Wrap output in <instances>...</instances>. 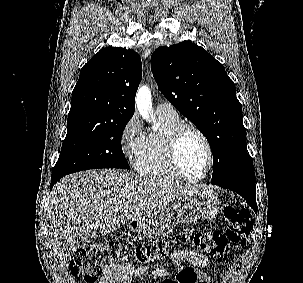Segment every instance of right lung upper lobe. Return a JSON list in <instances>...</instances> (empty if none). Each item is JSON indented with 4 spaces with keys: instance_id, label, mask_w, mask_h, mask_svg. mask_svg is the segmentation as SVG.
<instances>
[{
    "instance_id": "1",
    "label": "right lung upper lobe",
    "mask_w": 303,
    "mask_h": 283,
    "mask_svg": "<svg viewBox=\"0 0 303 283\" xmlns=\"http://www.w3.org/2000/svg\"><path fill=\"white\" fill-rule=\"evenodd\" d=\"M141 77L138 53L122 47L101 49L81 69L68 119L130 120Z\"/></svg>"
}]
</instances>
